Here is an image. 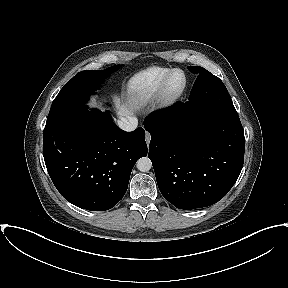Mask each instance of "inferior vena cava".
<instances>
[{
	"label": "inferior vena cava",
	"instance_id": "obj_1",
	"mask_svg": "<svg viewBox=\"0 0 288 288\" xmlns=\"http://www.w3.org/2000/svg\"><path fill=\"white\" fill-rule=\"evenodd\" d=\"M117 125L124 131H133L137 128L138 121L136 118H122L117 121Z\"/></svg>",
	"mask_w": 288,
	"mask_h": 288
}]
</instances>
